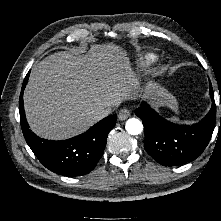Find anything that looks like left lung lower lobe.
Wrapping results in <instances>:
<instances>
[{"label": "left lung lower lobe", "mask_w": 221, "mask_h": 221, "mask_svg": "<svg viewBox=\"0 0 221 221\" xmlns=\"http://www.w3.org/2000/svg\"><path fill=\"white\" fill-rule=\"evenodd\" d=\"M210 95L213 99L211 86ZM136 115L144 124L147 153L158 163L172 166L192 161L203 152L215 127L216 107L213 104L204 121L191 126L167 121L146 103L137 108Z\"/></svg>", "instance_id": "left-lung-lower-lobe-1"}]
</instances>
